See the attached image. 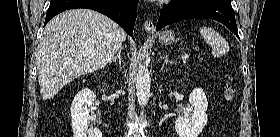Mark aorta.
Returning <instances> with one entry per match:
<instances>
[{"instance_id": "aorta-1", "label": "aorta", "mask_w": 280, "mask_h": 137, "mask_svg": "<svg viewBox=\"0 0 280 137\" xmlns=\"http://www.w3.org/2000/svg\"><path fill=\"white\" fill-rule=\"evenodd\" d=\"M136 95L141 107H145L150 97V73L145 65H139L136 75Z\"/></svg>"}]
</instances>
